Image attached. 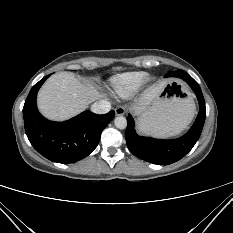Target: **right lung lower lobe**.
Returning a JSON list of instances; mask_svg holds the SVG:
<instances>
[{"mask_svg":"<svg viewBox=\"0 0 233 233\" xmlns=\"http://www.w3.org/2000/svg\"><path fill=\"white\" fill-rule=\"evenodd\" d=\"M48 77L32 87L25 101V132L32 146L47 159L63 164L73 163L94 151L102 130L114 118L115 112L97 115L87 110L65 122L45 119L38 112L36 96Z\"/></svg>","mask_w":233,"mask_h":233,"instance_id":"1","label":"right lung lower lobe"}]
</instances>
